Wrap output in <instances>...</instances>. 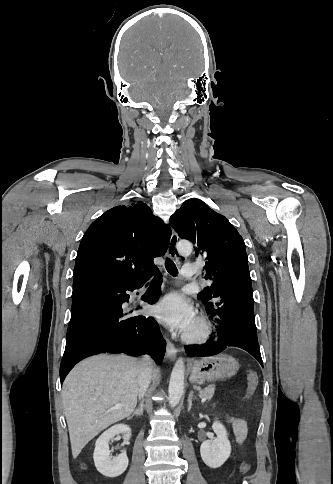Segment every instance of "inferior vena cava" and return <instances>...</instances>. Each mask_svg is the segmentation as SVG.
<instances>
[{
    "instance_id": "602c4592",
    "label": "inferior vena cava",
    "mask_w": 333,
    "mask_h": 484,
    "mask_svg": "<svg viewBox=\"0 0 333 484\" xmlns=\"http://www.w3.org/2000/svg\"><path fill=\"white\" fill-rule=\"evenodd\" d=\"M139 370H138V383H139V399H141L151 382L152 379V359L148 356L145 355L139 360Z\"/></svg>"
}]
</instances>
